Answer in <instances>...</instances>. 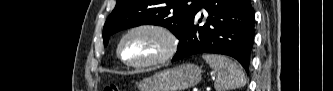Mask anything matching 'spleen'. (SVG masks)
Returning a JSON list of instances; mask_svg holds the SVG:
<instances>
[{"instance_id": "obj_1", "label": "spleen", "mask_w": 333, "mask_h": 91, "mask_svg": "<svg viewBox=\"0 0 333 91\" xmlns=\"http://www.w3.org/2000/svg\"><path fill=\"white\" fill-rule=\"evenodd\" d=\"M203 59L217 72L214 82L216 91H228L246 84L245 74L237 62L220 55L203 54Z\"/></svg>"}]
</instances>
